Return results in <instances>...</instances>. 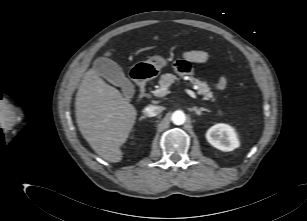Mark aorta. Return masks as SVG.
<instances>
[{
    "mask_svg": "<svg viewBox=\"0 0 307 221\" xmlns=\"http://www.w3.org/2000/svg\"><path fill=\"white\" fill-rule=\"evenodd\" d=\"M171 120L175 125H182L186 121V116L183 111L177 110L172 113Z\"/></svg>",
    "mask_w": 307,
    "mask_h": 221,
    "instance_id": "1",
    "label": "aorta"
}]
</instances>
